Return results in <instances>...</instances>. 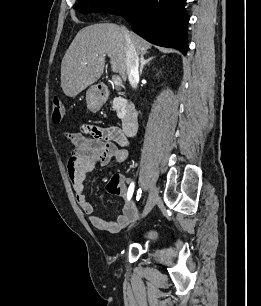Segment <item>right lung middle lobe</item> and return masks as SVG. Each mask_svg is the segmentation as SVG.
<instances>
[{
  "label": "right lung middle lobe",
  "mask_w": 261,
  "mask_h": 306,
  "mask_svg": "<svg viewBox=\"0 0 261 306\" xmlns=\"http://www.w3.org/2000/svg\"><path fill=\"white\" fill-rule=\"evenodd\" d=\"M130 0H78L73 7L82 14L91 12L110 13Z\"/></svg>",
  "instance_id": "dd1d6c3e"
}]
</instances>
